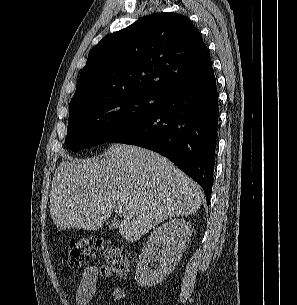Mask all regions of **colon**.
<instances>
[{
    "label": "colon",
    "instance_id": "colon-1",
    "mask_svg": "<svg viewBox=\"0 0 297 305\" xmlns=\"http://www.w3.org/2000/svg\"><path fill=\"white\" fill-rule=\"evenodd\" d=\"M103 249L108 269L117 277L127 276L132 270V254L123 247L109 243L99 238L84 237L74 239L68 248V259L72 267L79 268L85 265L92 256L94 249Z\"/></svg>",
    "mask_w": 297,
    "mask_h": 305
}]
</instances>
